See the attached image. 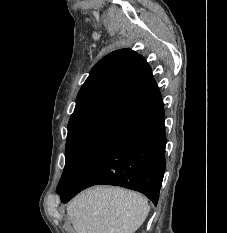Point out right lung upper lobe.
<instances>
[{
  "instance_id": "cb5924a9",
  "label": "right lung upper lobe",
  "mask_w": 227,
  "mask_h": 233,
  "mask_svg": "<svg viewBox=\"0 0 227 233\" xmlns=\"http://www.w3.org/2000/svg\"><path fill=\"white\" fill-rule=\"evenodd\" d=\"M163 108L145 59L129 49L101 59L81 87L68 133L98 130L119 134Z\"/></svg>"
}]
</instances>
